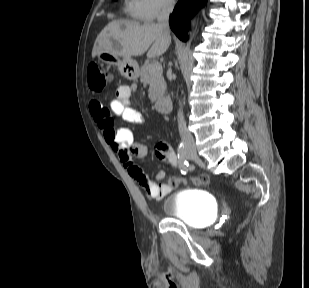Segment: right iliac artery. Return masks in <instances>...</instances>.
Masks as SVG:
<instances>
[{"mask_svg":"<svg viewBox=\"0 0 309 288\" xmlns=\"http://www.w3.org/2000/svg\"><path fill=\"white\" fill-rule=\"evenodd\" d=\"M178 159H179V171L181 170H186V172L188 173L189 170H196L197 169L195 167H193V165L189 164L184 156V143L181 142L179 144L178 147V155H177Z\"/></svg>","mask_w":309,"mask_h":288,"instance_id":"1","label":"right iliac artery"}]
</instances>
